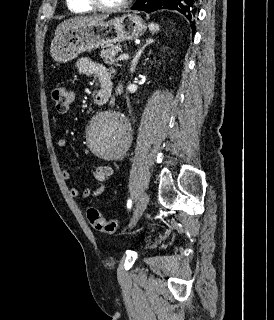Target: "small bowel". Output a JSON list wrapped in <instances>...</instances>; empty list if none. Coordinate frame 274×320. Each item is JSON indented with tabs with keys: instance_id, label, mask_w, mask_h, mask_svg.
I'll return each instance as SVG.
<instances>
[{
	"instance_id": "c3829d8e",
	"label": "small bowel",
	"mask_w": 274,
	"mask_h": 320,
	"mask_svg": "<svg viewBox=\"0 0 274 320\" xmlns=\"http://www.w3.org/2000/svg\"><path fill=\"white\" fill-rule=\"evenodd\" d=\"M77 70L83 76H96L100 83L99 92L105 91L108 92L109 96L111 95L114 90V75L103 64L91 57L83 56L77 61ZM119 90L120 87H118ZM66 146L67 141L65 139H60L57 143L59 149H64ZM113 174L114 169L111 166H98L92 171V175L99 185L94 189L74 186L69 189V195L80 201L100 197L105 192L106 183L112 178ZM60 175L65 181L72 180L70 173L63 167L60 168Z\"/></svg>"
}]
</instances>
